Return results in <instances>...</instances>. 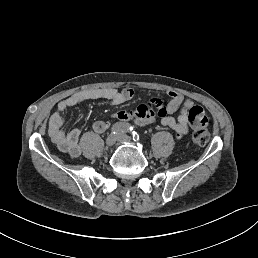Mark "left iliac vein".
Masks as SVG:
<instances>
[{
  "label": "left iliac vein",
  "instance_id": "obj_1",
  "mask_svg": "<svg viewBox=\"0 0 258 258\" xmlns=\"http://www.w3.org/2000/svg\"><path fill=\"white\" fill-rule=\"evenodd\" d=\"M130 140H131V137L129 135H126L125 133H119L117 135L118 142H129Z\"/></svg>",
  "mask_w": 258,
  "mask_h": 258
}]
</instances>
